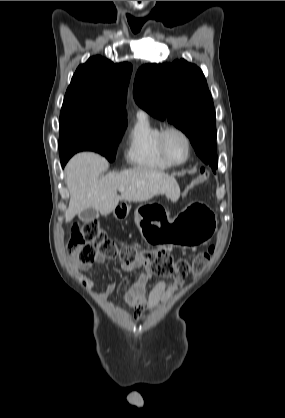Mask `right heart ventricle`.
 Masks as SVG:
<instances>
[{
	"label": "right heart ventricle",
	"mask_w": 285,
	"mask_h": 418,
	"mask_svg": "<svg viewBox=\"0 0 285 418\" xmlns=\"http://www.w3.org/2000/svg\"><path fill=\"white\" fill-rule=\"evenodd\" d=\"M161 128L151 122L147 115L138 116L126 137L125 158L133 167L147 170H165L169 165L157 146Z\"/></svg>",
	"instance_id": "e07e8e85"
}]
</instances>
